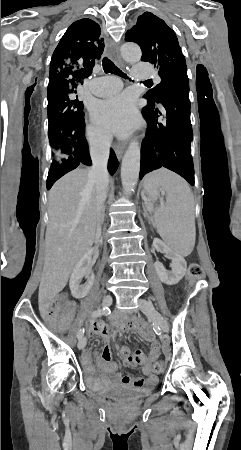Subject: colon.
<instances>
[{
  "label": "colon",
  "mask_w": 241,
  "mask_h": 450,
  "mask_svg": "<svg viewBox=\"0 0 241 450\" xmlns=\"http://www.w3.org/2000/svg\"><path fill=\"white\" fill-rule=\"evenodd\" d=\"M189 278L191 280H195L200 278L203 275V269L202 267L197 263H191L189 265V272H188ZM79 311L82 309L80 306L77 308ZM163 370L162 364H156L155 371L157 373L161 372Z\"/></svg>",
  "instance_id": "5ec220e1"
}]
</instances>
